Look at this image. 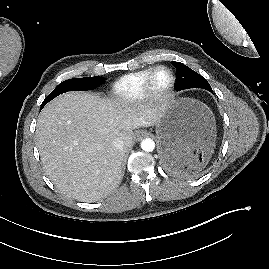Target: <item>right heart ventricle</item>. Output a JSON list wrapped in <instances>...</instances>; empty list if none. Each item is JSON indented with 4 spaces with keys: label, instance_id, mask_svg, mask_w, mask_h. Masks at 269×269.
<instances>
[{
    "label": "right heart ventricle",
    "instance_id": "e07e8e85",
    "mask_svg": "<svg viewBox=\"0 0 269 269\" xmlns=\"http://www.w3.org/2000/svg\"><path fill=\"white\" fill-rule=\"evenodd\" d=\"M151 69L140 70L118 79L112 89L116 99L124 103H133L143 97L144 82Z\"/></svg>",
    "mask_w": 269,
    "mask_h": 269
}]
</instances>
